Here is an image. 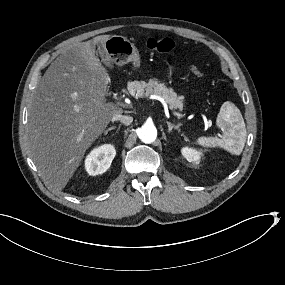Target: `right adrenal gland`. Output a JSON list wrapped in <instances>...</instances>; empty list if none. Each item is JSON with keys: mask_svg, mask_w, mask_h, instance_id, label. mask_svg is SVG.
<instances>
[{"mask_svg": "<svg viewBox=\"0 0 285 285\" xmlns=\"http://www.w3.org/2000/svg\"><path fill=\"white\" fill-rule=\"evenodd\" d=\"M114 129H116V126L110 127L108 130H106V131L104 132V136H106L110 131H112V130H114Z\"/></svg>", "mask_w": 285, "mask_h": 285, "instance_id": "2a0ac1e0", "label": "right adrenal gland"}]
</instances>
